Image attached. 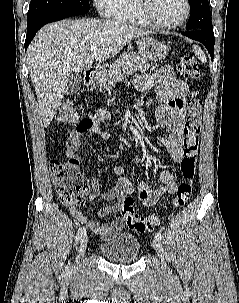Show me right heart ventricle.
I'll return each instance as SVG.
<instances>
[{
	"label": "right heart ventricle",
	"mask_w": 239,
	"mask_h": 303,
	"mask_svg": "<svg viewBox=\"0 0 239 303\" xmlns=\"http://www.w3.org/2000/svg\"><path fill=\"white\" fill-rule=\"evenodd\" d=\"M116 21L126 22L142 27L149 26L137 10L135 0H120L117 12L113 16Z\"/></svg>",
	"instance_id": "e07e8e85"
}]
</instances>
